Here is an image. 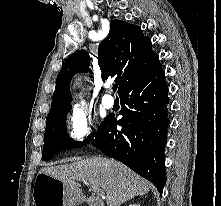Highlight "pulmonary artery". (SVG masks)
Here are the masks:
<instances>
[{
	"label": "pulmonary artery",
	"mask_w": 221,
	"mask_h": 206,
	"mask_svg": "<svg viewBox=\"0 0 221 206\" xmlns=\"http://www.w3.org/2000/svg\"><path fill=\"white\" fill-rule=\"evenodd\" d=\"M102 104L106 107V108H111L114 105V99L111 95H104L102 97Z\"/></svg>",
	"instance_id": "1"
}]
</instances>
